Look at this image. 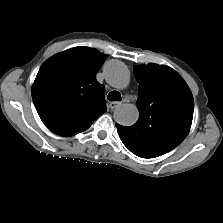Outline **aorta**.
Returning a JSON list of instances; mask_svg holds the SVG:
<instances>
[{
  "label": "aorta",
  "instance_id": "762f6f07",
  "mask_svg": "<svg viewBox=\"0 0 223 223\" xmlns=\"http://www.w3.org/2000/svg\"><path fill=\"white\" fill-rule=\"evenodd\" d=\"M105 79L108 84L117 89H124L130 81L127 66L119 60L107 61L104 65ZM114 120L122 126H131L139 118V110L133 104H122L114 111Z\"/></svg>",
  "mask_w": 223,
  "mask_h": 223
}]
</instances>
